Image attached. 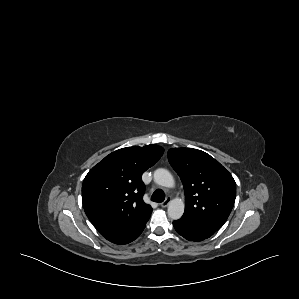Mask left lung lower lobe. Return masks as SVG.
I'll list each match as a JSON object with an SVG mask.
<instances>
[{
    "instance_id": "1",
    "label": "left lung lower lobe",
    "mask_w": 299,
    "mask_h": 299,
    "mask_svg": "<svg viewBox=\"0 0 299 299\" xmlns=\"http://www.w3.org/2000/svg\"><path fill=\"white\" fill-rule=\"evenodd\" d=\"M175 230L189 241H202L214 234L203 226L190 223L186 218H180L173 222Z\"/></svg>"
}]
</instances>
